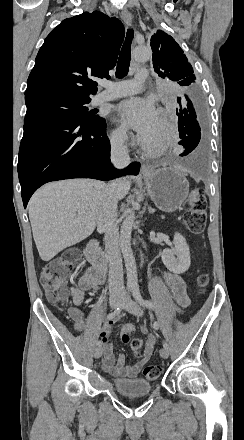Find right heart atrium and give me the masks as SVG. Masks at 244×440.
Instances as JSON below:
<instances>
[{
	"label": "right heart atrium",
	"instance_id": "d8ad5b80",
	"mask_svg": "<svg viewBox=\"0 0 244 440\" xmlns=\"http://www.w3.org/2000/svg\"><path fill=\"white\" fill-rule=\"evenodd\" d=\"M129 133L123 126H118L112 130L110 140L111 144L116 147H123L127 144L129 139ZM148 136H141L139 139H148Z\"/></svg>",
	"mask_w": 244,
	"mask_h": 440
}]
</instances>
